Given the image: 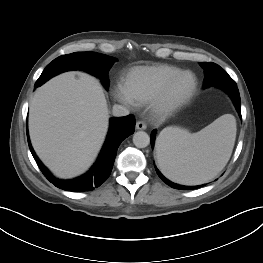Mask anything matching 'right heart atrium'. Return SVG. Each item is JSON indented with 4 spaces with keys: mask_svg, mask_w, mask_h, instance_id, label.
<instances>
[{
    "mask_svg": "<svg viewBox=\"0 0 263 263\" xmlns=\"http://www.w3.org/2000/svg\"><path fill=\"white\" fill-rule=\"evenodd\" d=\"M116 97L124 103H132L123 85H118L115 90Z\"/></svg>",
    "mask_w": 263,
    "mask_h": 263,
    "instance_id": "1",
    "label": "right heart atrium"
}]
</instances>
